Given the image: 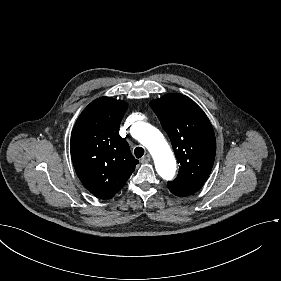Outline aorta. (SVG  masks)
Segmentation results:
<instances>
[{"mask_svg":"<svg viewBox=\"0 0 281 281\" xmlns=\"http://www.w3.org/2000/svg\"><path fill=\"white\" fill-rule=\"evenodd\" d=\"M136 129L137 139L151 153L157 173L165 180L173 179L176 160L163 134L145 122H137Z\"/></svg>","mask_w":281,"mask_h":281,"instance_id":"aorta-1","label":"aorta"}]
</instances>
